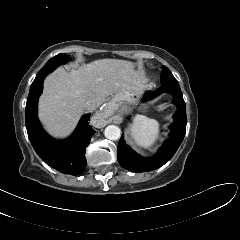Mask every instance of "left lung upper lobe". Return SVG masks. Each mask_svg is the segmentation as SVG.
<instances>
[{
    "instance_id": "left-lung-upper-lobe-1",
    "label": "left lung upper lobe",
    "mask_w": 240,
    "mask_h": 240,
    "mask_svg": "<svg viewBox=\"0 0 240 240\" xmlns=\"http://www.w3.org/2000/svg\"><path fill=\"white\" fill-rule=\"evenodd\" d=\"M161 83L162 84H178L170 70L163 66V71L161 73Z\"/></svg>"
}]
</instances>
